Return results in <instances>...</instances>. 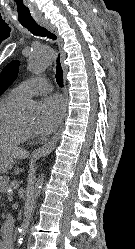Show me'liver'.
Listing matches in <instances>:
<instances>
[{"mask_svg":"<svg viewBox=\"0 0 135 249\" xmlns=\"http://www.w3.org/2000/svg\"><path fill=\"white\" fill-rule=\"evenodd\" d=\"M0 153L16 159H25L29 156V152L26 150L6 144H0Z\"/></svg>","mask_w":135,"mask_h":249,"instance_id":"6515ba94","label":"liver"}]
</instances>
